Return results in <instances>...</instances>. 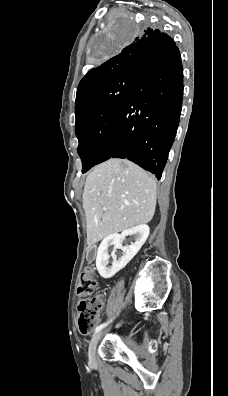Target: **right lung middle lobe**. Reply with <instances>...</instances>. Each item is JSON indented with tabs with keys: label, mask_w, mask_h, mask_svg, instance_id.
Here are the masks:
<instances>
[{
	"label": "right lung middle lobe",
	"mask_w": 228,
	"mask_h": 396,
	"mask_svg": "<svg viewBox=\"0 0 228 396\" xmlns=\"http://www.w3.org/2000/svg\"><path fill=\"white\" fill-rule=\"evenodd\" d=\"M130 30L138 28L128 22ZM122 39L116 37L114 47ZM111 50H108L110 52ZM137 72L120 75L91 93L76 113L75 131L79 140L78 153L82 159V173L97 164L101 157L116 116L134 82Z\"/></svg>",
	"instance_id": "obj_1"
}]
</instances>
